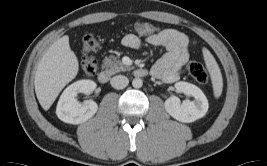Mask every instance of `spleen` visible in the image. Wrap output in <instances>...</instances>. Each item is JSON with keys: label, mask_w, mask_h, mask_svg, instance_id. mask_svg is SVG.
Listing matches in <instances>:
<instances>
[{"label": "spleen", "mask_w": 267, "mask_h": 166, "mask_svg": "<svg viewBox=\"0 0 267 166\" xmlns=\"http://www.w3.org/2000/svg\"><path fill=\"white\" fill-rule=\"evenodd\" d=\"M204 57H205L206 66L211 76L214 96L218 98L221 95L222 88H223V79H222L220 69L214 57L208 51H205Z\"/></svg>", "instance_id": "1"}]
</instances>
